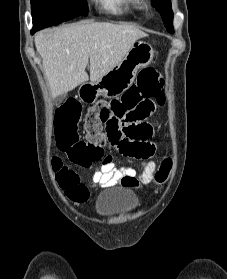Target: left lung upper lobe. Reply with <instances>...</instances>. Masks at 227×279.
I'll list each match as a JSON object with an SVG mask.
<instances>
[{
  "label": "left lung upper lobe",
  "instance_id": "left-lung-upper-lobe-1",
  "mask_svg": "<svg viewBox=\"0 0 227 279\" xmlns=\"http://www.w3.org/2000/svg\"><path fill=\"white\" fill-rule=\"evenodd\" d=\"M153 6L160 12L163 23L169 32H173V12L170 0H152Z\"/></svg>",
  "mask_w": 227,
  "mask_h": 279
}]
</instances>
